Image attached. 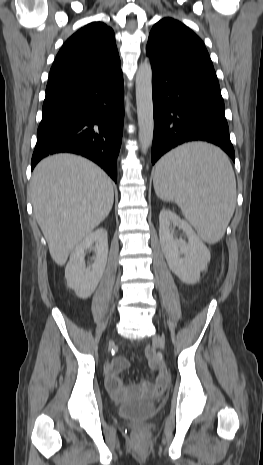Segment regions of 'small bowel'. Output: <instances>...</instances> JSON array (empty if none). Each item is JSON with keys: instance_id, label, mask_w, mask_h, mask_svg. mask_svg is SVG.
<instances>
[{"instance_id": "1", "label": "small bowel", "mask_w": 263, "mask_h": 465, "mask_svg": "<svg viewBox=\"0 0 263 465\" xmlns=\"http://www.w3.org/2000/svg\"><path fill=\"white\" fill-rule=\"evenodd\" d=\"M127 367L128 362L124 358H118L106 367V386L115 399L123 400L140 394L153 395L164 390L168 376L163 369H159L155 383L145 381L141 386L125 387L119 374Z\"/></svg>"}]
</instances>
